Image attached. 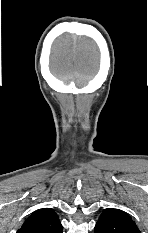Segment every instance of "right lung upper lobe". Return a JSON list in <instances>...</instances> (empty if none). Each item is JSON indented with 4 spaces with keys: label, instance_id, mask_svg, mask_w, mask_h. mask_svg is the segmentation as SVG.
Here are the masks:
<instances>
[{
    "label": "right lung upper lobe",
    "instance_id": "cb5924a9",
    "mask_svg": "<svg viewBox=\"0 0 148 233\" xmlns=\"http://www.w3.org/2000/svg\"><path fill=\"white\" fill-rule=\"evenodd\" d=\"M17 233H62V225L53 209L43 208L34 212Z\"/></svg>",
    "mask_w": 148,
    "mask_h": 233
}]
</instances>
